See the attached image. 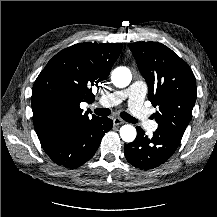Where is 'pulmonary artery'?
Instances as JSON below:
<instances>
[{
    "label": "pulmonary artery",
    "instance_id": "obj_1",
    "mask_svg": "<svg viewBox=\"0 0 217 217\" xmlns=\"http://www.w3.org/2000/svg\"><path fill=\"white\" fill-rule=\"evenodd\" d=\"M146 92V84L142 81H135L125 90H119L101 97L99 103L104 107H111L127 100L131 115L141 122L145 128L154 131L157 129V123L151 120L148 110L143 105Z\"/></svg>",
    "mask_w": 217,
    "mask_h": 217
}]
</instances>
